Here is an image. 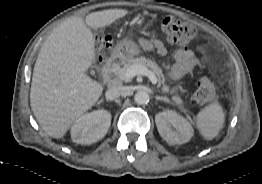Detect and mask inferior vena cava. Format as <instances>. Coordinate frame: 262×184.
I'll return each mask as SVG.
<instances>
[{
  "label": "inferior vena cava",
  "mask_w": 262,
  "mask_h": 184,
  "mask_svg": "<svg viewBox=\"0 0 262 184\" xmlns=\"http://www.w3.org/2000/svg\"><path fill=\"white\" fill-rule=\"evenodd\" d=\"M126 91H127L126 87L116 86V87H112L109 90H107L105 96L107 100H115L119 98L120 96L125 95Z\"/></svg>",
  "instance_id": "inferior-vena-cava-1"
}]
</instances>
